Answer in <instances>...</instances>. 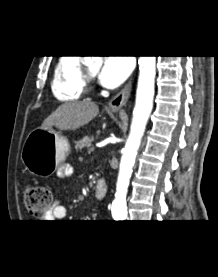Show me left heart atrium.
<instances>
[{
	"label": "left heart atrium",
	"mask_w": 218,
	"mask_h": 277,
	"mask_svg": "<svg viewBox=\"0 0 218 277\" xmlns=\"http://www.w3.org/2000/svg\"><path fill=\"white\" fill-rule=\"evenodd\" d=\"M132 62L128 57H106L99 72V81L108 88L119 86L129 75Z\"/></svg>",
	"instance_id": "1"
}]
</instances>
